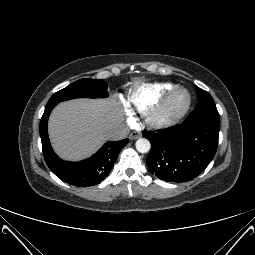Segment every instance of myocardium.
<instances>
[{
  "mask_svg": "<svg viewBox=\"0 0 255 255\" xmlns=\"http://www.w3.org/2000/svg\"><path fill=\"white\" fill-rule=\"evenodd\" d=\"M183 92L186 94V102L182 108L175 112H169L168 106L172 98ZM192 102V97L188 89L175 87L166 93L161 100L149 111L147 115L148 124L156 129L168 128L178 123L188 112Z\"/></svg>",
  "mask_w": 255,
  "mask_h": 255,
  "instance_id": "obj_1",
  "label": "myocardium"
}]
</instances>
